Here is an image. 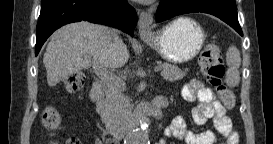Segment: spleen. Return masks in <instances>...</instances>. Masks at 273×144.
Returning a JSON list of instances; mask_svg holds the SVG:
<instances>
[{"mask_svg": "<svg viewBox=\"0 0 273 144\" xmlns=\"http://www.w3.org/2000/svg\"><path fill=\"white\" fill-rule=\"evenodd\" d=\"M226 64L228 70L225 81L229 87H236L240 82V73L238 71L241 65L240 52L235 46H230L226 53Z\"/></svg>", "mask_w": 273, "mask_h": 144, "instance_id": "obj_1", "label": "spleen"}]
</instances>
